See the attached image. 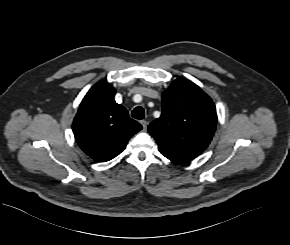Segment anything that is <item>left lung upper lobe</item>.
<instances>
[{
	"instance_id": "1",
	"label": "left lung upper lobe",
	"mask_w": 290,
	"mask_h": 245,
	"mask_svg": "<svg viewBox=\"0 0 290 245\" xmlns=\"http://www.w3.org/2000/svg\"><path fill=\"white\" fill-rule=\"evenodd\" d=\"M217 123L211 98L196 84L177 78L162 94V115L148 131L160 152L176 163H186L209 145Z\"/></svg>"
}]
</instances>
